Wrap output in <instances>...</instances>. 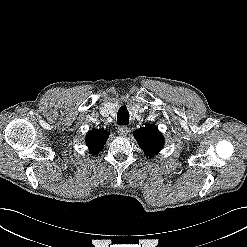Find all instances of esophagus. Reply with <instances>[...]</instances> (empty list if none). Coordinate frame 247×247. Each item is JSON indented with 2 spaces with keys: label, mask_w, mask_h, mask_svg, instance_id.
<instances>
[{
  "label": "esophagus",
  "mask_w": 247,
  "mask_h": 247,
  "mask_svg": "<svg viewBox=\"0 0 247 247\" xmlns=\"http://www.w3.org/2000/svg\"><path fill=\"white\" fill-rule=\"evenodd\" d=\"M128 132H129V127L128 126H120L119 128H118V133H119V135H121V136H126L127 134H128Z\"/></svg>",
  "instance_id": "esophagus-1"
}]
</instances>
